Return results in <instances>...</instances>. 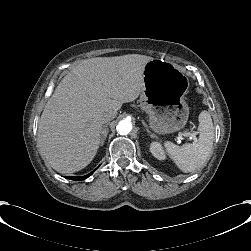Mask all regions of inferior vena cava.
I'll return each mask as SVG.
<instances>
[{
    "instance_id": "inferior-vena-cava-1",
    "label": "inferior vena cava",
    "mask_w": 251,
    "mask_h": 251,
    "mask_svg": "<svg viewBox=\"0 0 251 251\" xmlns=\"http://www.w3.org/2000/svg\"><path fill=\"white\" fill-rule=\"evenodd\" d=\"M116 117V113H112L109 116H106L102 119L103 124L110 122V120L114 119Z\"/></svg>"
}]
</instances>
